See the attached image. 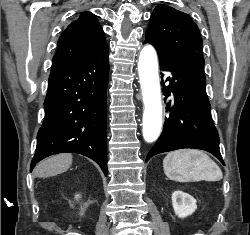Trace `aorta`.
Masks as SVG:
<instances>
[{
	"mask_svg": "<svg viewBox=\"0 0 250 235\" xmlns=\"http://www.w3.org/2000/svg\"><path fill=\"white\" fill-rule=\"evenodd\" d=\"M138 71L145 106L142 133L144 140L151 143L158 138L162 125L157 54L151 45H146L141 50Z\"/></svg>",
	"mask_w": 250,
	"mask_h": 235,
	"instance_id": "1",
	"label": "aorta"
}]
</instances>
